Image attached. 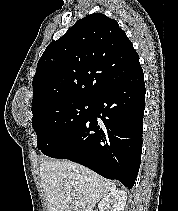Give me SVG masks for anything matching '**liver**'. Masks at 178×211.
<instances>
[{"mask_svg": "<svg viewBox=\"0 0 178 211\" xmlns=\"http://www.w3.org/2000/svg\"><path fill=\"white\" fill-rule=\"evenodd\" d=\"M40 179L49 211H93L116 190L113 182L69 160H44Z\"/></svg>", "mask_w": 178, "mask_h": 211, "instance_id": "6515ba94", "label": "liver"}]
</instances>
